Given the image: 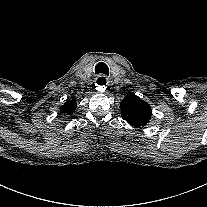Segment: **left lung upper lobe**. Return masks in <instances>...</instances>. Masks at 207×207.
Returning a JSON list of instances; mask_svg holds the SVG:
<instances>
[{
    "mask_svg": "<svg viewBox=\"0 0 207 207\" xmlns=\"http://www.w3.org/2000/svg\"><path fill=\"white\" fill-rule=\"evenodd\" d=\"M122 118L135 128L145 126L151 118L149 104L134 94H128L120 103Z\"/></svg>",
    "mask_w": 207,
    "mask_h": 207,
    "instance_id": "obj_1",
    "label": "left lung upper lobe"
}]
</instances>
